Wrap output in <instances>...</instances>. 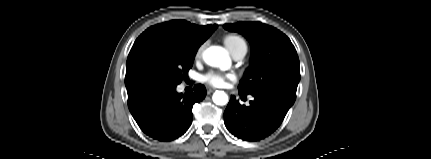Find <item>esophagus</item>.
<instances>
[{"mask_svg": "<svg viewBox=\"0 0 431 159\" xmlns=\"http://www.w3.org/2000/svg\"><path fill=\"white\" fill-rule=\"evenodd\" d=\"M214 91H215V89H214V88H208V89H207V93H208V94H211V93H212V92H214Z\"/></svg>", "mask_w": 431, "mask_h": 159, "instance_id": "esophagus-1", "label": "esophagus"}]
</instances>
